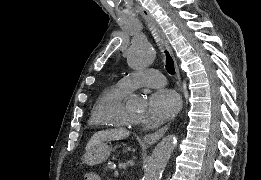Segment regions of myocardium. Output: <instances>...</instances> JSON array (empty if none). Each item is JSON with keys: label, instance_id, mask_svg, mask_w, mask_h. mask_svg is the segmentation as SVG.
<instances>
[{"label": "myocardium", "instance_id": "f54148a6", "mask_svg": "<svg viewBox=\"0 0 261 180\" xmlns=\"http://www.w3.org/2000/svg\"><path fill=\"white\" fill-rule=\"evenodd\" d=\"M116 123L121 131H125L132 135H138L143 129L144 122L140 124L129 123L124 119V110L121 108L116 114Z\"/></svg>", "mask_w": 261, "mask_h": 180}]
</instances>
